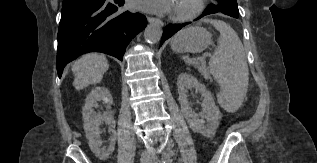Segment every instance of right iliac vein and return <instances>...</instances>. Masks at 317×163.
Instances as JSON below:
<instances>
[{
  "label": "right iliac vein",
  "instance_id": "63e3f726",
  "mask_svg": "<svg viewBox=\"0 0 317 163\" xmlns=\"http://www.w3.org/2000/svg\"><path fill=\"white\" fill-rule=\"evenodd\" d=\"M141 163H150V161H148L146 159H142Z\"/></svg>",
  "mask_w": 317,
  "mask_h": 163
}]
</instances>
